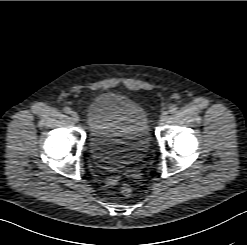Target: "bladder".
Instances as JSON below:
<instances>
[{
	"label": "bladder",
	"mask_w": 247,
	"mask_h": 245,
	"mask_svg": "<svg viewBox=\"0 0 247 245\" xmlns=\"http://www.w3.org/2000/svg\"><path fill=\"white\" fill-rule=\"evenodd\" d=\"M91 157L100 168L117 169L141 158L150 144L149 122L133 99L104 92L86 112Z\"/></svg>",
	"instance_id": "obj_1"
}]
</instances>
